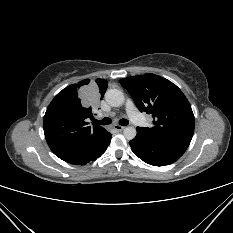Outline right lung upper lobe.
<instances>
[{"label":"right lung upper lobe","mask_w":233,"mask_h":233,"mask_svg":"<svg viewBox=\"0 0 233 233\" xmlns=\"http://www.w3.org/2000/svg\"><path fill=\"white\" fill-rule=\"evenodd\" d=\"M108 82L96 79L90 83L85 79L59 92L49 104L43 120L46 141L52 152L66 162H79L94 155L107 141L109 132L99 125L89 126L92 118L79 89L98 92L101 99Z\"/></svg>","instance_id":"obj_1"}]
</instances>
